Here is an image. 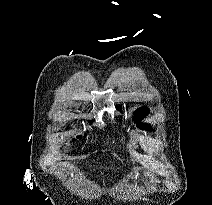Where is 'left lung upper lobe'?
Segmentation results:
<instances>
[{
	"instance_id": "5c2ea615",
	"label": "left lung upper lobe",
	"mask_w": 212,
	"mask_h": 205,
	"mask_svg": "<svg viewBox=\"0 0 212 205\" xmlns=\"http://www.w3.org/2000/svg\"><path fill=\"white\" fill-rule=\"evenodd\" d=\"M149 113V109L147 107H141L138 109L135 113V119H136V125L141 128V129H149L150 126L145 123H140L141 119L146 117L147 114Z\"/></svg>"
}]
</instances>
